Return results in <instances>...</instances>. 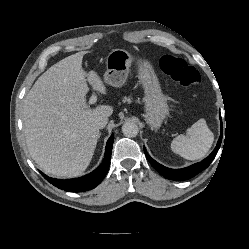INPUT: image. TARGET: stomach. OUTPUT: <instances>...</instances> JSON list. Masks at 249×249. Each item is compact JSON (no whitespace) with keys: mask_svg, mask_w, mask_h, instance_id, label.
Instances as JSON below:
<instances>
[{"mask_svg":"<svg viewBox=\"0 0 249 249\" xmlns=\"http://www.w3.org/2000/svg\"><path fill=\"white\" fill-rule=\"evenodd\" d=\"M133 60L134 57L124 49L111 51L106 59L105 82L113 87L122 86L128 77L129 67ZM138 71L145 93V119L152 128L158 129L169 113L166 97L161 91L150 62L139 59Z\"/></svg>","mask_w":249,"mask_h":249,"instance_id":"0dacf381","label":"stomach"}]
</instances>
